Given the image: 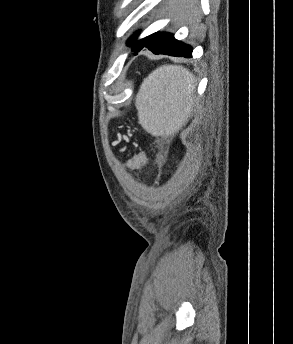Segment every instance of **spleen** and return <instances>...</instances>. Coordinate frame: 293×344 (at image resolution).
I'll list each match as a JSON object with an SVG mask.
<instances>
[{
  "label": "spleen",
  "instance_id": "1",
  "mask_svg": "<svg viewBox=\"0 0 293 344\" xmlns=\"http://www.w3.org/2000/svg\"><path fill=\"white\" fill-rule=\"evenodd\" d=\"M195 77L182 66L163 65L144 79L136 96L139 124L153 136L175 134L188 120Z\"/></svg>",
  "mask_w": 293,
  "mask_h": 344
}]
</instances>
